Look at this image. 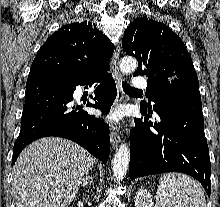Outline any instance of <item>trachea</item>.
I'll list each match as a JSON object with an SVG mask.
<instances>
[{
	"label": "trachea",
	"instance_id": "trachea-1",
	"mask_svg": "<svg viewBox=\"0 0 220 207\" xmlns=\"http://www.w3.org/2000/svg\"><path fill=\"white\" fill-rule=\"evenodd\" d=\"M122 87L125 92H139L138 89L132 88L131 86H129L125 82H122Z\"/></svg>",
	"mask_w": 220,
	"mask_h": 207
}]
</instances>
